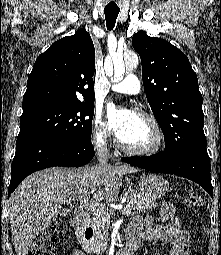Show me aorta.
Here are the masks:
<instances>
[{
    "label": "aorta",
    "instance_id": "aorta-1",
    "mask_svg": "<svg viewBox=\"0 0 221 255\" xmlns=\"http://www.w3.org/2000/svg\"><path fill=\"white\" fill-rule=\"evenodd\" d=\"M138 65V57L134 52H127L124 55L113 56V67L106 65L105 70L108 76L115 82L121 81L126 71L134 70Z\"/></svg>",
    "mask_w": 221,
    "mask_h": 255
}]
</instances>
